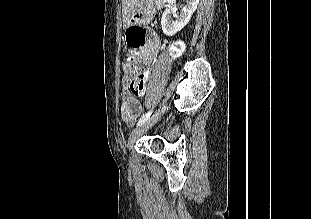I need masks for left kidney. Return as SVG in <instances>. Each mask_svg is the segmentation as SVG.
<instances>
[{"mask_svg":"<svg viewBox=\"0 0 311 219\" xmlns=\"http://www.w3.org/2000/svg\"><path fill=\"white\" fill-rule=\"evenodd\" d=\"M174 1L175 0H167V3L172 4ZM186 3L187 4L182 8L180 14L174 15L175 20L172 19V9L167 8L163 12L161 27L165 35L173 36L187 25L199 4V0H186Z\"/></svg>","mask_w":311,"mask_h":219,"instance_id":"obj_1","label":"left kidney"}]
</instances>
